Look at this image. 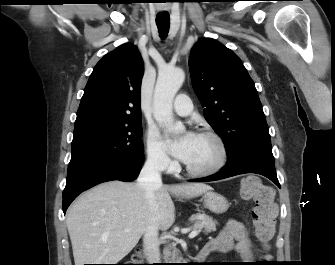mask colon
Listing matches in <instances>:
<instances>
[{
    "mask_svg": "<svg viewBox=\"0 0 335 265\" xmlns=\"http://www.w3.org/2000/svg\"><path fill=\"white\" fill-rule=\"evenodd\" d=\"M240 197L245 201H253V224L255 234L261 244L269 247V242L274 236L278 207L275 202V192L272 187L265 185L256 176L245 177L240 187ZM143 260L142 250L139 249L132 256L131 263L138 264Z\"/></svg>",
    "mask_w": 335,
    "mask_h": 265,
    "instance_id": "colon-1",
    "label": "colon"
}]
</instances>
